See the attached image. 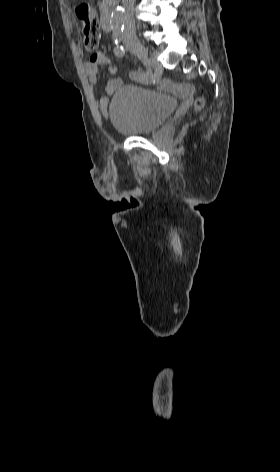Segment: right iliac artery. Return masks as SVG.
Masks as SVG:
<instances>
[{
    "instance_id": "1",
    "label": "right iliac artery",
    "mask_w": 280,
    "mask_h": 472,
    "mask_svg": "<svg viewBox=\"0 0 280 472\" xmlns=\"http://www.w3.org/2000/svg\"><path fill=\"white\" fill-rule=\"evenodd\" d=\"M114 53L116 56L118 57H122L124 54H125V49L123 46H119L118 44L116 45L115 49H114ZM146 65V63H145ZM150 76H151V70L148 69L146 71H138L136 73V77L139 81H142V82H148L149 79H150Z\"/></svg>"
}]
</instances>
